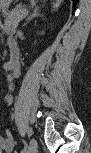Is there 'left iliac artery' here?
Wrapping results in <instances>:
<instances>
[{
    "mask_svg": "<svg viewBox=\"0 0 91 153\" xmlns=\"http://www.w3.org/2000/svg\"><path fill=\"white\" fill-rule=\"evenodd\" d=\"M22 143H24V149H23L22 153H28V151H26V150L30 149V143H28V140H22Z\"/></svg>",
    "mask_w": 91,
    "mask_h": 153,
    "instance_id": "left-iliac-artery-1",
    "label": "left iliac artery"
}]
</instances>
